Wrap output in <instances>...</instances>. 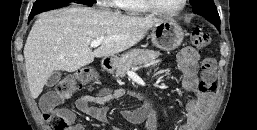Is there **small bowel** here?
<instances>
[{
    "mask_svg": "<svg viewBox=\"0 0 257 130\" xmlns=\"http://www.w3.org/2000/svg\"><path fill=\"white\" fill-rule=\"evenodd\" d=\"M198 60V52L191 47L183 48L177 55L178 68L183 75L181 87L183 90L193 94L192 99L186 105L185 121L177 130H196L212 99V95L202 93L198 89ZM127 93L122 88H103L95 94H82L76 100V107L87 116L108 125L110 130H121L111 124L108 108L104 105L110 100L124 97ZM68 97L55 92H48L41 97L40 105L45 111H55L67 116L70 122L69 130H85L83 125L76 121L75 114L72 111L68 109H57V106ZM91 103L96 104V106H91ZM121 115L126 121L132 124H139L146 121L147 130H157L158 128L157 113L149 103H145L133 110H123Z\"/></svg>",
    "mask_w": 257,
    "mask_h": 130,
    "instance_id": "1",
    "label": "small bowel"
}]
</instances>
